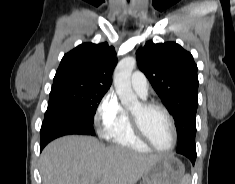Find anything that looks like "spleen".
<instances>
[{"mask_svg":"<svg viewBox=\"0 0 235 184\" xmlns=\"http://www.w3.org/2000/svg\"><path fill=\"white\" fill-rule=\"evenodd\" d=\"M190 182H191L190 176H184L182 184H190Z\"/></svg>","mask_w":235,"mask_h":184,"instance_id":"obj_1","label":"spleen"}]
</instances>
